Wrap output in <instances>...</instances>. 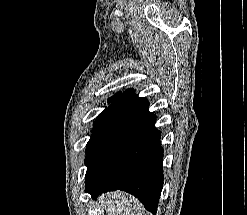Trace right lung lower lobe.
Segmentation results:
<instances>
[{"instance_id":"98d812e1","label":"right lung lower lobe","mask_w":247,"mask_h":215,"mask_svg":"<svg viewBox=\"0 0 247 215\" xmlns=\"http://www.w3.org/2000/svg\"><path fill=\"white\" fill-rule=\"evenodd\" d=\"M146 98L128 89L93 129L86 145L85 192L124 190L156 214L163 186V149Z\"/></svg>"}]
</instances>
